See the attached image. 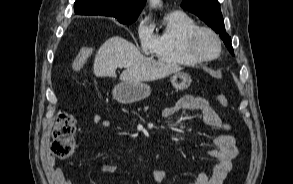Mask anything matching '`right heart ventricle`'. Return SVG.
Segmentation results:
<instances>
[{
	"label": "right heart ventricle",
	"instance_id": "obj_1",
	"mask_svg": "<svg viewBox=\"0 0 293 184\" xmlns=\"http://www.w3.org/2000/svg\"><path fill=\"white\" fill-rule=\"evenodd\" d=\"M198 24L183 12H171L164 17L161 31L156 34L153 55L161 62L183 66H194L199 62L186 51L187 35Z\"/></svg>",
	"mask_w": 293,
	"mask_h": 184
}]
</instances>
